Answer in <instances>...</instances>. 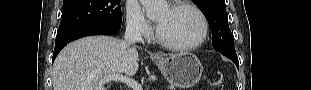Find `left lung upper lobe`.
I'll return each instance as SVG.
<instances>
[{"instance_id":"obj_1","label":"left lung upper lobe","mask_w":311,"mask_h":90,"mask_svg":"<svg viewBox=\"0 0 311 90\" xmlns=\"http://www.w3.org/2000/svg\"><path fill=\"white\" fill-rule=\"evenodd\" d=\"M194 2L210 24L213 48L225 54L236 55L234 39L226 15L225 0H195Z\"/></svg>"}]
</instances>
